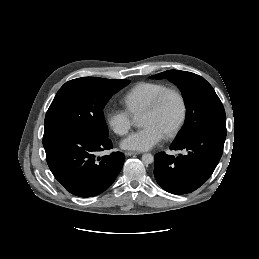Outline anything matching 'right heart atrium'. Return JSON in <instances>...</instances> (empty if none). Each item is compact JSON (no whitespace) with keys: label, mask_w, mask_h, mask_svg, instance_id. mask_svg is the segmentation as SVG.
<instances>
[{"label":"right heart atrium","mask_w":259,"mask_h":259,"mask_svg":"<svg viewBox=\"0 0 259 259\" xmlns=\"http://www.w3.org/2000/svg\"><path fill=\"white\" fill-rule=\"evenodd\" d=\"M105 117L108 126L119 136L126 135L134 121V116L127 109L111 108Z\"/></svg>","instance_id":"d8ad5b80"}]
</instances>
